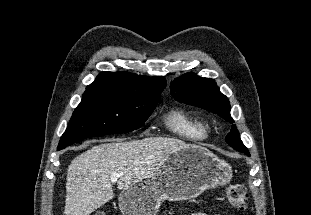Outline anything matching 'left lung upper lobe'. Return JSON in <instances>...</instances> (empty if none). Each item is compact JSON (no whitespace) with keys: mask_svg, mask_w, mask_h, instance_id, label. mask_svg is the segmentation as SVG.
Here are the masks:
<instances>
[{"mask_svg":"<svg viewBox=\"0 0 311 215\" xmlns=\"http://www.w3.org/2000/svg\"><path fill=\"white\" fill-rule=\"evenodd\" d=\"M170 90L177 101L212 111L221 115L226 121L234 122L230 116V103L227 97L219 91L213 79L200 78L194 73H187L175 79L171 83ZM225 140L237 151L250 156L235 125L232 126Z\"/></svg>","mask_w":311,"mask_h":215,"instance_id":"5c2ea615","label":"left lung upper lobe"}]
</instances>
